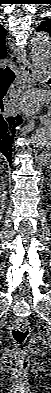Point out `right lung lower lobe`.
<instances>
[{"label": "right lung lower lobe", "instance_id": "right-lung-lower-lobe-1", "mask_svg": "<svg viewBox=\"0 0 51 393\" xmlns=\"http://www.w3.org/2000/svg\"><path fill=\"white\" fill-rule=\"evenodd\" d=\"M3 96L0 95V155L3 154L11 164L12 159V143L16 132V126L22 123V118L18 115L16 117H8L3 114Z\"/></svg>", "mask_w": 51, "mask_h": 393}]
</instances>
